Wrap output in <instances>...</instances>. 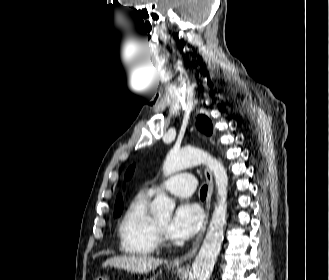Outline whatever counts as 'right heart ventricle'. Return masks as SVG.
<instances>
[{"label": "right heart ventricle", "mask_w": 329, "mask_h": 280, "mask_svg": "<svg viewBox=\"0 0 329 280\" xmlns=\"http://www.w3.org/2000/svg\"><path fill=\"white\" fill-rule=\"evenodd\" d=\"M151 193H141L128 206L120 224L121 250L129 255L152 254L158 245L155 219L150 213Z\"/></svg>", "instance_id": "1"}]
</instances>
